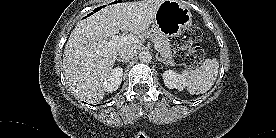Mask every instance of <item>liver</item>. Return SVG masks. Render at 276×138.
<instances>
[{
    "mask_svg": "<svg viewBox=\"0 0 276 138\" xmlns=\"http://www.w3.org/2000/svg\"><path fill=\"white\" fill-rule=\"evenodd\" d=\"M163 0L122 2L107 5L77 23L65 45L63 69L71 92L88 102L104 97L103 83L112 70L118 52L133 43L108 46L122 31L140 33L154 20Z\"/></svg>",
    "mask_w": 276,
    "mask_h": 138,
    "instance_id": "6515ba94",
    "label": "liver"
}]
</instances>
